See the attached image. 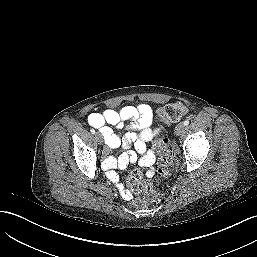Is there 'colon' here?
I'll list each match as a JSON object with an SVG mask.
<instances>
[{
    "instance_id": "obj_1",
    "label": "colon",
    "mask_w": 257,
    "mask_h": 257,
    "mask_svg": "<svg viewBox=\"0 0 257 257\" xmlns=\"http://www.w3.org/2000/svg\"><path fill=\"white\" fill-rule=\"evenodd\" d=\"M161 119L167 123H176L181 121L187 115V108L181 103H170L158 110ZM155 148L159 153L158 162L162 167L161 176L168 173L167 167L175 163V153L170 147L169 139L161 137L155 142ZM128 183L132 190L140 196L135 200L138 206H146L150 203L159 201L166 191V186L160 184L155 187L150 182L143 179L139 171H133L128 177Z\"/></svg>"
}]
</instances>
